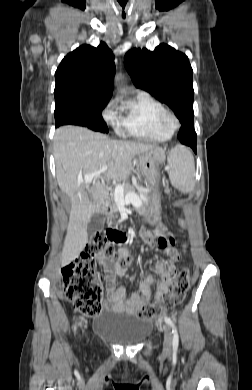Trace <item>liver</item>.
<instances>
[{
    "label": "liver",
    "instance_id": "1",
    "mask_svg": "<svg viewBox=\"0 0 252 390\" xmlns=\"http://www.w3.org/2000/svg\"><path fill=\"white\" fill-rule=\"evenodd\" d=\"M161 148L139 142L117 141L107 135L79 126H62L55 132L54 158L60 189L71 200L67 235L62 250V266L74 261L88 242L87 225L95 213L102 212L108 198L104 183H79L78 178L108 167V179L126 180L134 170L135 156ZM97 179V178H96Z\"/></svg>",
    "mask_w": 252,
    "mask_h": 390
}]
</instances>
